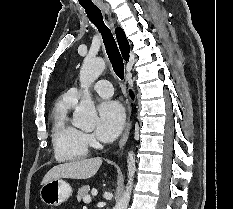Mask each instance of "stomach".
Wrapping results in <instances>:
<instances>
[{
    "mask_svg": "<svg viewBox=\"0 0 233 209\" xmlns=\"http://www.w3.org/2000/svg\"><path fill=\"white\" fill-rule=\"evenodd\" d=\"M72 195V188L68 182L59 178L44 184L40 189L42 202L50 206H59Z\"/></svg>",
    "mask_w": 233,
    "mask_h": 209,
    "instance_id": "stomach-1",
    "label": "stomach"
}]
</instances>
